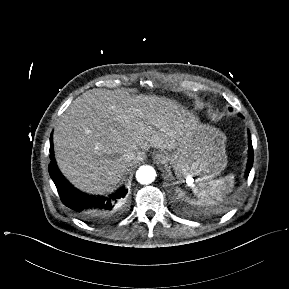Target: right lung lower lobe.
Listing matches in <instances>:
<instances>
[{
	"label": "right lung lower lobe",
	"instance_id": "1",
	"mask_svg": "<svg viewBox=\"0 0 289 289\" xmlns=\"http://www.w3.org/2000/svg\"><path fill=\"white\" fill-rule=\"evenodd\" d=\"M50 141H52V134ZM50 159L49 174L56 185L61 201L67 207L75 211L83 220L91 223H102L114 218L119 199H123L127 194L124 187L108 197L85 194L74 188L60 173L54 159L52 145Z\"/></svg>",
	"mask_w": 289,
	"mask_h": 289
}]
</instances>
